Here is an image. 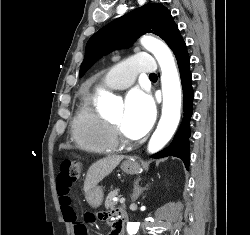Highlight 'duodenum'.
<instances>
[{
  "instance_id": "duodenum-1",
  "label": "duodenum",
  "mask_w": 250,
  "mask_h": 235,
  "mask_svg": "<svg viewBox=\"0 0 250 235\" xmlns=\"http://www.w3.org/2000/svg\"><path fill=\"white\" fill-rule=\"evenodd\" d=\"M127 221V214L124 211H118L117 218L111 230V235H123L124 226Z\"/></svg>"
}]
</instances>
